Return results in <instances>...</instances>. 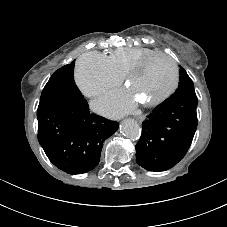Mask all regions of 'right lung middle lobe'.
Here are the masks:
<instances>
[{"label": "right lung middle lobe", "mask_w": 227, "mask_h": 227, "mask_svg": "<svg viewBox=\"0 0 227 227\" xmlns=\"http://www.w3.org/2000/svg\"><path fill=\"white\" fill-rule=\"evenodd\" d=\"M73 73V62L55 71L42 91L40 102L49 99L83 98L75 85Z\"/></svg>", "instance_id": "dd1d6c3e"}]
</instances>
